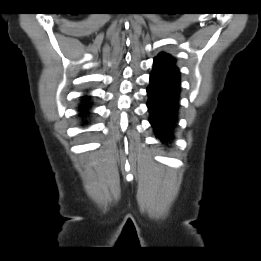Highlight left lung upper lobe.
I'll list each match as a JSON object with an SVG mask.
<instances>
[{
	"instance_id": "left-lung-upper-lobe-1",
	"label": "left lung upper lobe",
	"mask_w": 261,
	"mask_h": 261,
	"mask_svg": "<svg viewBox=\"0 0 261 261\" xmlns=\"http://www.w3.org/2000/svg\"><path fill=\"white\" fill-rule=\"evenodd\" d=\"M156 59H160L162 61L170 62V63H173V61H175V59L170 54L165 52H161L160 54H158Z\"/></svg>"
}]
</instances>
